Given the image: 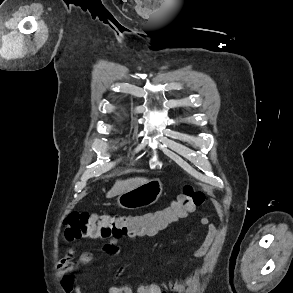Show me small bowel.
Returning a JSON list of instances; mask_svg holds the SVG:
<instances>
[{
    "instance_id": "1",
    "label": "small bowel",
    "mask_w": 293,
    "mask_h": 293,
    "mask_svg": "<svg viewBox=\"0 0 293 293\" xmlns=\"http://www.w3.org/2000/svg\"><path fill=\"white\" fill-rule=\"evenodd\" d=\"M200 223L207 228V233L201 245L193 253L194 258L197 259L203 258L207 254L215 239L219 235L218 228L214 225L210 218L202 217ZM165 228L166 226L152 231L131 233L129 235L122 236L130 238L153 237ZM122 236H114L109 238L107 242L102 245L100 249L101 252L110 256L119 255L121 253V248L118 245V241ZM73 251L74 249L70 248L67 255L60 261L56 275L61 279L62 287L65 293H82L81 286L76 283L75 272L79 267L90 264L93 261V255L90 252H82L75 257L73 256ZM197 278L198 275L193 274L185 279L175 280L164 284L162 287L157 284H147L145 286L137 287L136 290L126 284L120 283L110 287L108 293H134L135 291L141 293L140 289L146 286L155 288L157 293H166L168 290L174 293H185L193 287Z\"/></svg>"
}]
</instances>
